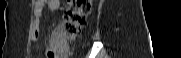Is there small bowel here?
Listing matches in <instances>:
<instances>
[{
    "instance_id": "c3829d8e",
    "label": "small bowel",
    "mask_w": 181,
    "mask_h": 58,
    "mask_svg": "<svg viewBox=\"0 0 181 58\" xmlns=\"http://www.w3.org/2000/svg\"><path fill=\"white\" fill-rule=\"evenodd\" d=\"M60 8L59 0H37L34 5L36 23L34 25L33 37L36 40L40 34L39 18L46 10L56 11Z\"/></svg>"
}]
</instances>
